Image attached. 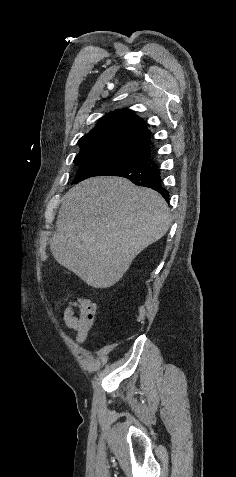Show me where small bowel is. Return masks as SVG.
<instances>
[{
  "instance_id": "small-bowel-1",
  "label": "small bowel",
  "mask_w": 236,
  "mask_h": 477,
  "mask_svg": "<svg viewBox=\"0 0 236 477\" xmlns=\"http://www.w3.org/2000/svg\"><path fill=\"white\" fill-rule=\"evenodd\" d=\"M67 296L63 303H67L64 310L63 319L66 326L76 332L77 342H83L93 323L96 314V304L85 297H79L71 300Z\"/></svg>"
}]
</instances>
